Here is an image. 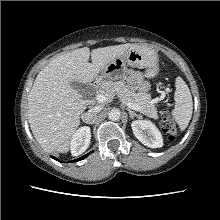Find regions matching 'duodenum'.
<instances>
[{"label": "duodenum", "mask_w": 220, "mask_h": 220, "mask_svg": "<svg viewBox=\"0 0 220 220\" xmlns=\"http://www.w3.org/2000/svg\"><path fill=\"white\" fill-rule=\"evenodd\" d=\"M95 83H96L95 81H91V82L89 83L90 89H94Z\"/></svg>", "instance_id": "1"}]
</instances>
